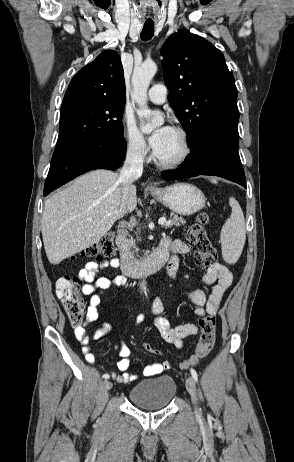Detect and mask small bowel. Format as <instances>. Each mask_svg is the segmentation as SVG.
I'll list each match as a JSON object with an SVG mask.
<instances>
[{"label": "small bowel", "mask_w": 294, "mask_h": 462, "mask_svg": "<svg viewBox=\"0 0 294 462\" xmlns=\"http://www.w3.org/2000/svg\"><path fill=\"white\" fill-rule=\"evenodd\" d=\"M171 249L173 256L171 257L167 273L171 280L177 279L178 269L180 265L179 256L190 252V248L182 240L176 239L171 241L165 239ZM108 267L119 268L120 261L117 258L101 263L88 262L85 267L79 272V279L83 282L82 293L90 296L89 306L87 308L85 324L77 326L74 329L76 339L82 344V352L85 359L89 363L95 362V357L91 346L89 345V337L86 333L85 326L95 322L98 319V306L101 302V295L110 287H121L126 284V277L124 275H117L113 278L99 277L98 273ZM232 284V274L229 269L219 263H215L209 267L204 276L199 280L198 286L193 290L182 292L181 297L186 298L189 302L199 306L195 313L198 316L205 314H216L224 293ZM214 285L212 292L207 294L201 286ZM165 310V300L163 297L155 298L150 304V312L153 316L154 325L159 331L161 337L169 344L182 348L186 337L197 335L198 326L193 323H185L177 326H171L167 318L162 316ZM144 315L140 314L137 317V322H142ZM111 326L109 323H104L100 329L94 333L95 339H100L104 336ZM120 359L117 362V369L119 374L112 373L114 379L119 383H130L136 379V376L127 372L130 366V350L129 348L120 343L119 348ZM169 368L168 362H154L149 364L144 369L145 376H155L162 373Z\"/></svg>", "instance_id": "small-bowel-1"}]
</instances>
